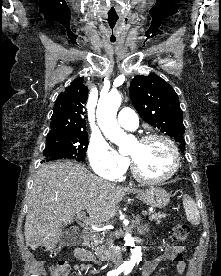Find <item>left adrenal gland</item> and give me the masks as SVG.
Returning <instances> with one entry per match:
<instances>
[{
  "label": "left adrenal gland",
  "mask_w": 221,
  "mask_h": 276,
  "mask_svg": "<svg viewBox=\"0 0 221 276\" xmlns=\"http://www.w3.org/2000/svg\"><path fill=\"white\" fill-rule=\"evenodd\" d=\"M140 221H141L140 218L137 217L136 224H140ZM137 230L140 234H144L145 232L149 231V228H148V225L145 224V225H141L140 227H138Z\"/></svg>",
  "instance_id": "left-adrenal-gland-1"
}]
</instances>
